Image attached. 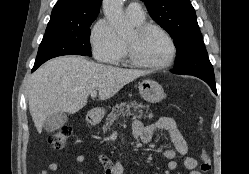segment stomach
<instances>
[{
    "mask_svg": "<svg viewBox=\"0 0 249 174\" xmlns=\"http://www.w3.org/2000/svg\"><path fill=\"white\" fill-rule=\"evenodd\" d=\"M139 93L141 97L150 102V103H157L160 102L164 97V90L162 86L153 80H143L139 83ZM104 111L102 109H98L92 113L93 119H99L103 116Z\"/></svg>",
    "mask_w": 249,
    "mask_h": 174,
    "instance_id": "1",
    "label": "stomach"
}]
</instances>
